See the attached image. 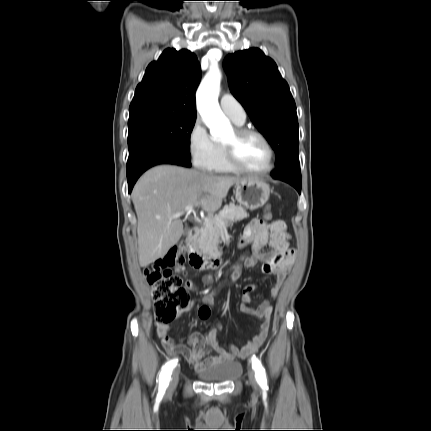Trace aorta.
Segmentation results:
<instances>
[{
  "mask_svg": "<svg viewBox=\"0 0 431 431\" xmlns=\"http://www.w3.org/2000/svg\"><path fill=\"white\" fill-rule=\"evenodd\" d=\"M221 73L217 67L210 68L196 93L197 108L213 138H220L231 129L228 119L218 104Z\"/></svg>",
  "mask_w": 431,
  "mask_h": 431,
  "instance_id": "aorta-1",
  "label": "aorta"
}]
</instances>
